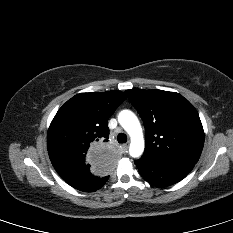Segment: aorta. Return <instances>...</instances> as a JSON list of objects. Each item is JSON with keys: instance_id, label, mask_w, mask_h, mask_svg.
Here are the masks:
<instances>
[{"instance_id": "1", "label": "aorta", "mask_w": 233, "mask_h": 233, "mask_svg": "<svg viewBox=\"0 0 233 233\" xmlns=\"http://www.w3.org/2000/svg\"><path fill=\"white\" fill-rule=\"evenodd\" d=\"M118 122L130 136V156L134 158L141 156L145 144L142 127L137 116L130 110H122L118 115Z\"/></svg>"}]
</instances>
